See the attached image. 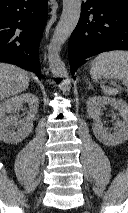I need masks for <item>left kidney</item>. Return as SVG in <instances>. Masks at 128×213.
<instances>
[{"instance_id": "left-kidney-1", "label": "left kidney", "mask_w": 128, "mask_h": 213, "mask_svg": "<svg viewBox=\"0 0 128 213\" xmlns=\"http://www.w3.org/2000/svg\"><path fill=\"white\" fill-rule=\"evenodd\" d=\"M106 105L119 111L123 121L117 120L114 132H107L101 121V111ZM87 112L94 120L92 129L95 137L105 145L116 146L128 140V104L121 100L103 96H94L87 101Z\"/></svg>"}]
</instances>
